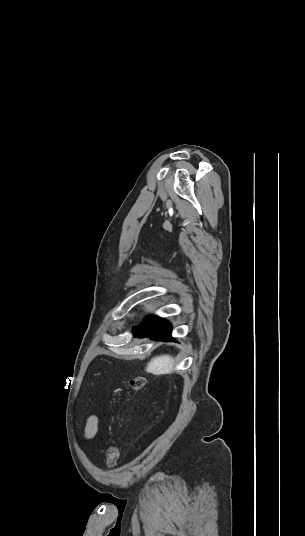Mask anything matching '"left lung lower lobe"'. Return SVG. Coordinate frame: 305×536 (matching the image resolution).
Wrapping results in <instances>:
<instances>
[{
  "instance_id": "obj_1",
  "label": "left lung lower lobe",
  "mask_w": 305,
  "mask_h": 536,
  "mask_svg": "<svg viewBox=\"0 0 305 536\" xmlns=\"http://www.w3.org/2000/svg\"><path fill=\"white\" fill-rule=\"evenodd\" d=\"M171 325L165 319L155 316H149L143 320L140 325L133 328L135 336H149L155 339H161L165 342L174 340L170 337Z\"/></svg>"
}]
</instances>
